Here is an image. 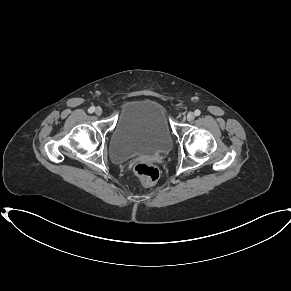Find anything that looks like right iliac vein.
I'll list each match as a JSON object with an SVG mask.
<instances>
[{"label":"right iliac vein","instance_id":"1","mask_svg":"<svg viewBox=\"0 0 291 291\" xmlns=\"http://www.w3.org/2000/svg\"><path fill=\"white\" fill-rule=\"evenodd\" d=\"M102 113H103V110H102L101 107H97V108L95 109V114H96L97 116L102 115Z\"/></svg>","mask_w":291,"mask_h":291}]
</instances>
